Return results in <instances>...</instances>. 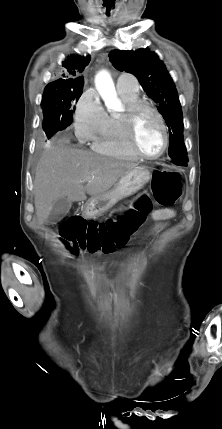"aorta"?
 Returning <instances> with one entry per match:
<instances>
[{
	"label": "aorta",
	"instance_id": "1",
	"mask_svg": "<svg viewBox=\"0 0 222 429\" xmlns=\"http://www.w3.org/2000/svg\"><path fill=\"white\" fill-rule=\"evenodd\" d=\"M95 85L108 108L116 109L120 105L113 80L107 71L98 73L95 78Z\"/></svg>",
	"mask_w": 222,
	"mask_h": 429
}]
</instances>
